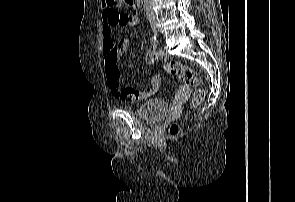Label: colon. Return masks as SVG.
Listing matches in <instances>:
<instances>
[{
  "instance_id": "colon-1",
  "label": "colon",
  "mask_w": 295,
  "mask_h": 202,
  "mask_svg": "<svg viewBox=\"0 0 295 202\" xmlns=\"http://www.w3.org/2000/svg\"><path fill=\"white\" fill-rule=\"evenodd\" d=\"M109 7L114 10L115 6L118 4H124V5H132L133 0H106ZM129 23V17L128 15H121L120 17V25H127ZM164 70L172 75L177 76L180 81L190 87L195 88V92L193 94L192 98V105L196 106L198 105L204 98L205 92L203 89L200 88L201 85V77L199 74L192 68L185 66L181 63L170 61L167 62L164 65ZM181 132L178 125L173 124L169 128V133L172 136H177Z\"/></svg>"
}]
</instances>
